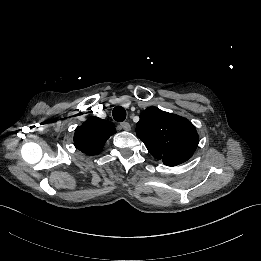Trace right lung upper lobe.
<instances>
[{"label": "right lung upper lobe", "mask_w": 261, "mask_h": 261, "mask_svg": "<svg viewBox=\"0 0 261 261\" xmlns=\"http://www.w3.org/2000/svg\"><path fill=\"white\" fill-rule=\"evenodd\" d=\"M115 132V127L109 121L92 116L76 128L74 145L87 155H96Z\"/></svg>", "instance_id": "cb5924a9"}]
</instances>
